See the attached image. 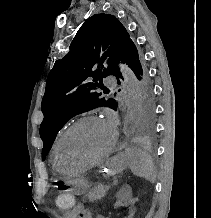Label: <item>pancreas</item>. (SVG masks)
Segmentation results:
<instances>
[{
  "instance_id": "cf45deb5",
  "label": "pancreas",
  "mask_w": 211,
  "mask_h": 218,
  "mask_svg": "<svg viewBox=\"0 0 211 218\" xmlns=\"http://www.w3.org/2000/svg\"><path fill=\"white\" fill-rule=\"evenodd\" d=\"M106 188H108V186H94L93 190H91L89 194H86L88 200H91V202H93V200H100V198L105 196Z\"/></svg>"
}]
</instances>
